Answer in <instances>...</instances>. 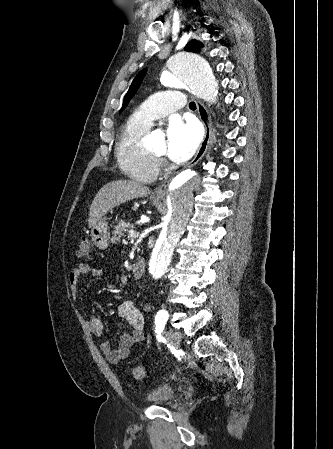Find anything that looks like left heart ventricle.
<instances>
[{
    "label": "left heart ventricle",
    "instance_id": "1",
    "mask_svg": "<svg viewBox=\"0 0 333 449\" xmlns=\"http://www.w3.org/2000/svg\"><path fill=\"white\" fill-rule=\"evenodd\" d=\"M153 152L159 155H164L167 152V145L165 140H161L157 146L153 149Z\"/></svg>",
    "mask_w": 333,
    "mask_h": 449
}]
</instances>
